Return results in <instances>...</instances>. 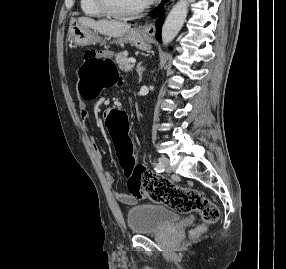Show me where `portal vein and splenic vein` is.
<instances>
[{
  "label": "portal vein and splenic vein",
  "mask_w": 286,
  "mask_h": 269,
  "mask_svg": "<svg viewBox=\"0 0 286 269\" xmlns=\"http://www.w3.org/2000/svg\"><path fill=\"white\" fill-rule=\"evenodd\" d=\"M129 62H130L131 64H135V63H136V59L130 58V59H129Z\"/></svg>",
  "instance_id": "18ae733b"
}]
</instances>
